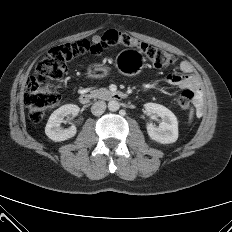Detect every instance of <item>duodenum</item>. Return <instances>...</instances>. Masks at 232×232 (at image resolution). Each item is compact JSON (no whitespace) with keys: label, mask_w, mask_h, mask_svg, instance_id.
Listing matches in <instances>:
<instances>
[{"label":"duodenum","mask_w":232,"mask_h":232,"mask_svg":"<svg viewBox=\"0 0 232 232\" xmlns=\"http://www.w3.org/2000/svg\"><path fill=\"white\" fill-rule=\"evenodd\" d=\"M108 100H121L125 97L124 93L121 91H110L103 95ZM92 99V94L89 92L83 93L79 97V102L82 105H87Z\"/></svg>","instance_id":"duodenum-1"}]
</instances>
